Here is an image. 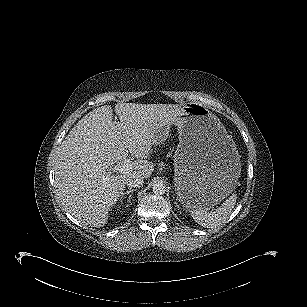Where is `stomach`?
<instances>
[{
    "label": "stomach",
    "instance_id": "1",
    "mask_svg": "<svg viewBox=\"0 0 307 307\" xmlns=\"http://www.w3.org/2000/svg\"><path fill=\"white\" fill-rule=\"evenodd\" d=\"M150 123L158 142L165 139L171 124L178 128L174 186L184 207L211 208L233 191L241 171L240 156L232 137L207 107L186 103L170 119L155 117Z\"/></svg>",
    "mask_w": 307,
    "mask_h": 307
}]
</instances>
